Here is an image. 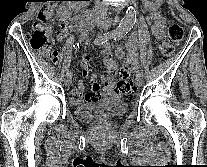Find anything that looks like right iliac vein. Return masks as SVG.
<instances>
[{
    "instance_id": "right-iliac-vein-1",
    "label": "right iliac vein",
    "mask_w": 207,
    "mask_h": 167,
    "mask_svg": "<svg viewBox=\"0 0 207 167\" xmlns=\"http://www.w3.org/2000/svg\"><path fill=\"white\" fill-rule=\"evenodd\" d=\"M71 82H72V78H71V76H68L67 79L65 80V85L70 86Z\"/></svg>"
}]
</instances>
